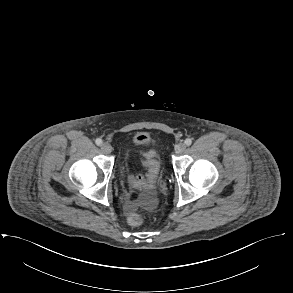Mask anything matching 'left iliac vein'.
Wrapping results in <instances>:
<instances>
[{
	"label": "left iliac vein",
	"instance_id": "obj_1",
	"mask_svg": "<svg viewBox=\"0 0 293 293\" xmlns=\"http://www.w3.org/2000/svg\"><path fill=\"white\" fill-rule=\"evenodd\" d=\"M186 149V145L184 143H178L175 146V153L176 154H182Z\"/></svg>",
	"mask_w": 293,
	"mask_h": 293
}]
</instances>
